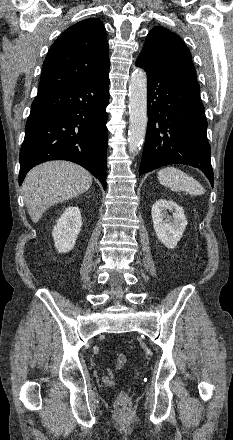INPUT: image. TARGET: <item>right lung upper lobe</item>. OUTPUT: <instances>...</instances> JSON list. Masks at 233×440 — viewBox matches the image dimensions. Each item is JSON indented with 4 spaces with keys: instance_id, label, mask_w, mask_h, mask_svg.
Segmentation results:
<instances>
[{
    "instance_id": "obj_1",
    "label": "right lung upper lobe",
    "mask_w": 233,
    "mask_h": 440,
    "mask_svg": "<svg viewBox=\"0 0 233 440\" xmlns=\"http://www.w3.org/2000/svg\"><path fill=\"white\" fill-rule=\"evenodd\" d=\"M109 72L106 30L89 18L65 30L51 46L43 63L39 92L93 81Z\"/></svg>"
}]
</instances>
